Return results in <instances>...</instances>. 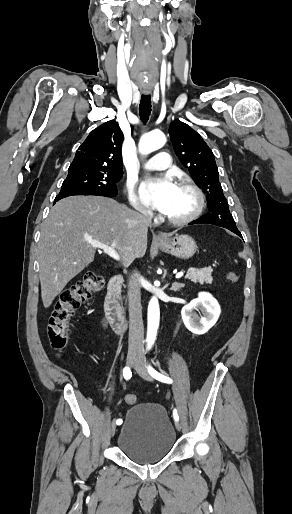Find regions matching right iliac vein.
Here are the masks:
<instances>
[{
    "label": "right iliac vein",
    "mask_w": 292,
    "mask_h": 514,
    "mask_svg": "<svg viewBox=\"0 0 292 514\" xmlns=\"http://www.w3.org/2000/svg\"><path fill=\"white\" fill-rule=\"evenodd\" d=\"M138 358L134 355H130L127 357V365L129 367H134L137 363H138ZM115 430H116V424H115V421H113L110 425V434L111 436L114 435L115 433Z\"/></svg>",
    "instance_id": "right-iliac-vein-1"
}]
</instances>
